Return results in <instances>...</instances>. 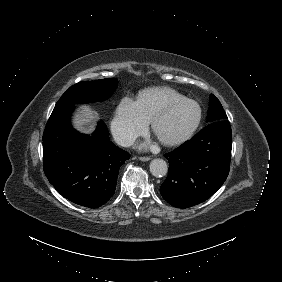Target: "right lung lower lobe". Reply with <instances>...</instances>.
Segmentation results:
<instances>
[{
	"instance_id": "98d812e1",
	"label": "right lung lower lobe",
	"mask_w": 282,
	"mask_h": 282,
	"mask_svg": "<svg viewBox=\"0 0 282 282\" xmlns=\"http://www.w3.org/2000/svg\"><path fill=\"white\" fill-rule=\"evenodd\" d=\"M73 104L53 110L43 134L44 172L55 189L68 200L97 208L114 194L120 167L130 154L109 140L99 122L92 136L70 124Z\"/></svg>"
}]
</instances>
